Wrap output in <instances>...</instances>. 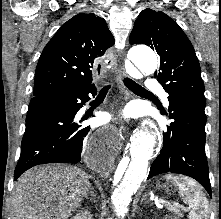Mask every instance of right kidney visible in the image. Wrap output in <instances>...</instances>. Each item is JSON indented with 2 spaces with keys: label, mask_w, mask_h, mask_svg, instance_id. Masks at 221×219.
<instances>
[{
  "label": "right kidney",
  "mask_w": 221,
  "mask_h": 219,
  "mask_svg": "<svg viewBox=\"0 0 221 219\" xmlns=\"http://www.w3.org/2000/svg\"><path fill=\"white\" fill-rule=\"evenodd\" d=\"M72 219H92V215L86 210L76 214Z\"/></svg>",
  "instance_id": "ca27d5eb"
}]
</instances>
